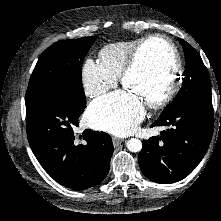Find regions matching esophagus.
<instances>
[{"label": "esophagus", "instance_id": "obj_1", "mask_svg": "<svg viewBox=\"0 0 221 221\" xmlns=\"http://www.w3.org/2000/svg\"><path fill=\"white\" fill-rule=\"evenodd\" d=\"M124 140L117 138L115 136L112 137L113 146L117 147L119 144H121Z\"/></svg>", "mask_w": 221, "mask_h": 221}]
</instances>
